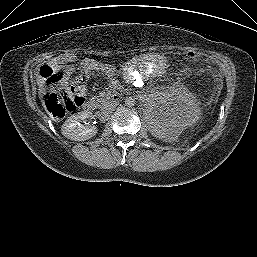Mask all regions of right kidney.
Returning a JSON list of instances; mask_svg holds the SVG:
<instances>
[{
    "label": "right kidney",
    "mask_w": 257,
    "mask_h": 257,
    "mask_svg": "<svg viewBox=\"0 0 257 257\" xmlns=\"http://www.w3.org/2000/svg\"><path fill=\"white\" fill-rule=\"evenodd\" d=\"M87 118H93V114L89 111L73 114L62 125V134L73 141H85L92 138L98 130L95 126L84 123Z\"/></svg>",
    "instance_id": "ca27d5eb"
}]
</instances>
